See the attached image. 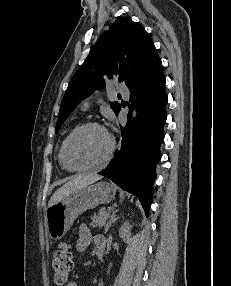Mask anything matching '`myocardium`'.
<instances>
[{
	"label": "myocardium",
	"instance_id": "obj_1",
	"mask_svg": "<svg viewBox=\"0 0 231 286\" xmlns=\"http://www.w3.org/2000/svg\"><path fill=\"white\" fill-rule=\"evenodd\" d=\"M87 128H97V129H100L101 131H103L109 139V149H108L106 155L96 163H93V164H90L87 166H83V167H72L68 163V159H67L68 146L76 134H78L79 132H81L82 130L87 129ZM114 151H115V140H114L113 136L110 134V132L106 129V127H104L102 124H100L98 122L88 121V122L82 123L79 126L75 127L69 133V135L65 138L63 146H62V165L66 170L71 171V172H84V171L96 169V168L102 167L106 163H108V161L111 159Z\"/></svg>",
	"mask_w": 231,
	"mask_h": 286
}]
</instances>
